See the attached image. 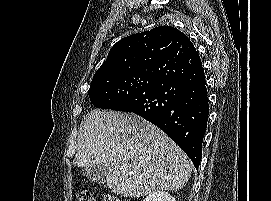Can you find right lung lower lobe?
<instances>
[{
  "label": "right lung lower lobe",
  "instance_id": "obj_1",
  "mask_svg": "<svg viewBox=\"0 0 271 201\" xmlns=\"http://www.w3.org/2000/svg\"><path fill=\"white\" fill-rule=\"evenodd\" d=\"M152 74L151 86L118 111L133 112L158 126L198 169L209 106L204 69L191 41L185 38Z\"/></svg>",
  "mask_w": 271,
  "mask_h": 201
}]
</instances>
